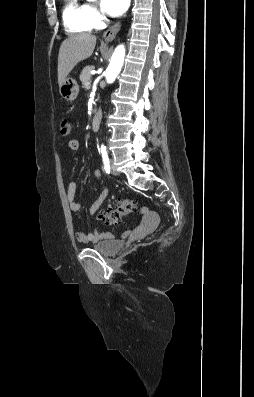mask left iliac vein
<instances>
[{"mask_svg":"<svg viewBox=\"0 0 254 397\" xmlns=\"http://www.w3.org/2000/svg\"><path fill=\"white\" fill-rule=\"evenodd\" d=\"M111 174L117 176L119 175V172L117 171L116 167L114 166L113 162L111 161Z\"/></svg>","mask_w":254,"mask_h":397,"instance_id":"obj_1","label":"left iliac vein"}]
</instances>
